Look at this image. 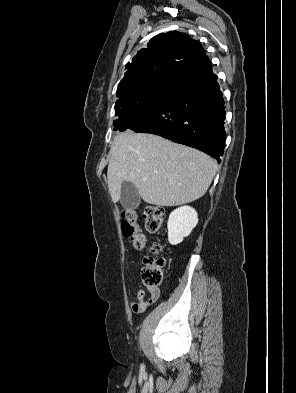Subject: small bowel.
I'll return each instance as SVG.
<instances>
[{
  "label": "small bowel",
  "mask_w": 296,
  "mask_h": 393,
  "mask_svg": "<svg viewBox=\"0 0 296 393\" xmlns=\"http://www.w3.org/2000/svg\"><path fill=\"white\" fill-rule=\"evenodd\" d=\"M159 297V291L146 299V292L143 289H139L136 294V301L131 302V308L135 313L144 312L152 303H154Z\"/></svg>",
  "instance_id": "c3829d8e"
}]
</instances>
